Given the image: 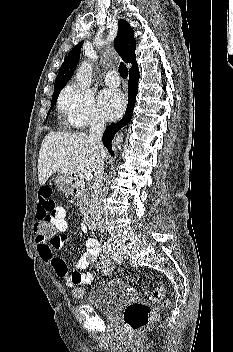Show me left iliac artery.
I'll use <instances>...</instances> for the list:
<instances>
[{"mask_svg":"<svg viewBox=\"0 0 233 352\" xmlns=\"http://www.w3.org/2000/svg\"><path fill=\"white\" fill-rule=\"evenodd\" d=\"M112 257L118 263H120L122 261L121 257L119 256V253L115 250V248H113V250H112Z\"/></svg>","mask_w":233,"mask_h":352,"instance_id":"obj_1","label":"left iliac artery"}]
</instances>
